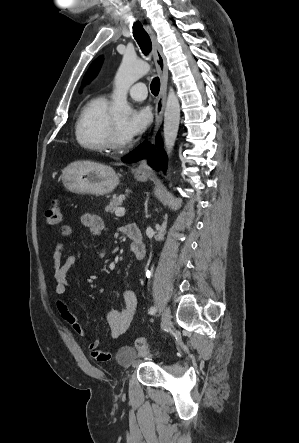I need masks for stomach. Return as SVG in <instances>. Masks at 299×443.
<instances>
[{
	"label": "stomach",
	"instance_id": "1",
	"mask_svg": "<svg viewBox=\"0 0 299 443\" xmlns=\"http://www.w3.org/2000/svg\"><path fill=\"white\" fill-rule=\"evenodd\" d=\"M135 178L145 182L148 174L137 172ZM61 181L65 188L73 193L104 195L116 188L119 184V177L109 166L75 162L62 171Z\"/></svg>",
	"mask_w": 299,
	"mask_h": 443
}]
</instances>
